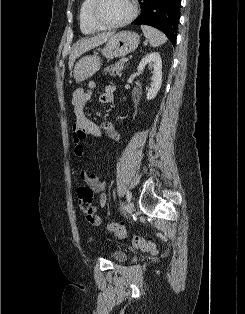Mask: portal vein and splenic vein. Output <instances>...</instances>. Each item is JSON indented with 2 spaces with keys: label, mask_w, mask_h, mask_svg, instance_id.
<instances>
[{
  "label": "portal vein and splenic vein",
  "mask_w": 245,
  "mask_h": 314,
  "mask_svg": "<svg viewBox=\"0 0 245 314\" xmlns=\"http://www.w3.org/2000/svg\"><path fill=\"white\" fill-rule=\"evenodd\" d=\"M123 60H124V62H127V61H128V58H124Z\"/></svg>",
  "instance_id": "1"
}]
</instances>
